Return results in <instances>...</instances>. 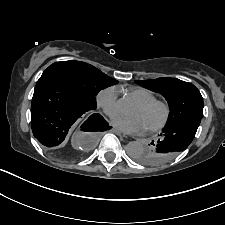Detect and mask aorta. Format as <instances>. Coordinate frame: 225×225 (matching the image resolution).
Instances as JSON below:
<instances>
[{
  "label": "aorta",
  "mask_w": 225,
  "mask_h": 225,
  "mask_svg": "<svg viewBox=\"0 0 225 225\" xmlns=\"http://www.w3.org/2000/svg\"><path fill=\"white\" fill-rule=\"evenodd\" d=\"M123 101H120L122 104ZM145 150L144 145L139 141H131L126 145V152L131 158H136Z\"/></svg>",
  "instance_id": "1"
}]
</instances>
